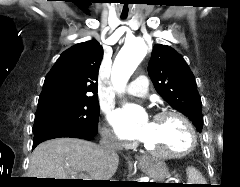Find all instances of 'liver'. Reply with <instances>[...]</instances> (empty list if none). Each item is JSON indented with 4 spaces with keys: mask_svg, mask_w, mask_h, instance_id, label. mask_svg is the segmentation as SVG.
<instances>
[{
    "mask_svg": "<svg viewBox=\"0 0 240 187\" xmlns=\"http://www.w3.org/2000/svg\"><path fill=\"white\" fill-rule=\"evenodd\" d=\"M118 163L117 154L106 156L100 146L92 142L58 138L35 148L27 175L29 178L78 179V173L86 172L90 180H109Z\"/></svg>",
    "mask_w": 240,
    "mask_h": 187,
    "instance_id": "1",
    "label": "liver"
}]
</instances>
